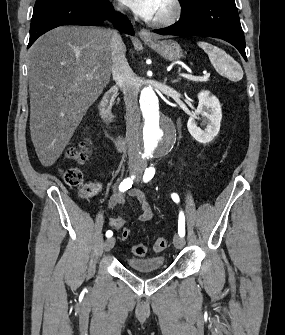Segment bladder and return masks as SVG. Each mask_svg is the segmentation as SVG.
<instances>
[{"label": "bladder", "instance_id": "obj_1", "mask_svg": "<svg viewBox=\"0 0 285 335\" xmlns=\"http://www.w3.org/2000/svg\"><path fill=\"white\" fill-rule=\"evenodd\" d=\"M162 258H166L162 254H154L147 257H130L127 256V264L131 265L132 272L149 273L159 272V265H162Z\"/></svg>", "mask_w": 285, "mask_h": 335}]
</instances>
